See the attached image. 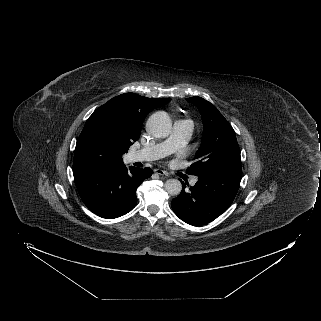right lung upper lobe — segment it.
<instances>
[{
  "mask_svg": "<svg viewBox=\"0 0 321 321\" xmlns=\"http://www.w3.org/2000/svg\"><path fill=\"white\" fill-rule=\"evenodd\" d=\"M171 99H152L135 93H124L97 108L89 118L106 119L113 130L122 136L129 147L140 137L141 127L147 114Z\"/></svg>",
  "mask_w": 321,
  "mask_h": 321,
  "instance_id": "1",
  "label": "right lung upper lobe"
}]
</instances>
